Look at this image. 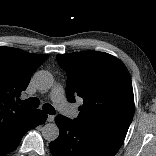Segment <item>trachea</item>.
Returning a JSON list of instances; mask_svg holds the SVG:
<instances>
[{
	"instance_id": "obj_1",
	"label": "trachea",
	"mask_w": 156,
	"mask_h": 156,
	"mask_svg": "<svg viewBox=\"0 0 156 156\" xmlns=\"http://www.w3.org/2000/svg\"><path fill=\"white\" fill-rule=\"evenodd\" d=\"M17 102L19 104H21V105H24V106H27V107H30V108H37L39 106V103H40L39 99L35 98V97H31V98H29L27 100H24V101L19 99ZM43 110L45 112H47L48 114H50V115L55 114V109L50 104H44L43 105Z\"/></svg>"
}]
</instances>
